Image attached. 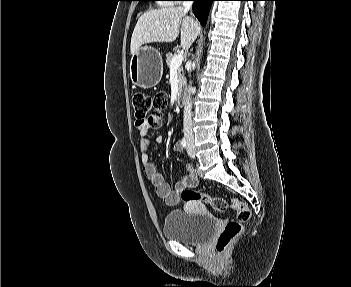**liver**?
I'll return each instance as SVG.
<instances>
[{"label": "liver", "instance_id": "6515ba94", "mask_svg": "<svg viewBox=\"0 0 351 287\" xmlns=\"http://www.w3.org/2000/svg\"><path fill=\"white\" fill-rule=\"evenodd\" d=\"M181 35V46L189 49L200 33V25L182 6L149 10L140 16L134 28L130 51L135 54L143 44L169 43Z\"/></svg>", "mask_w": 351, "mask_h": 287}]
</instances>
